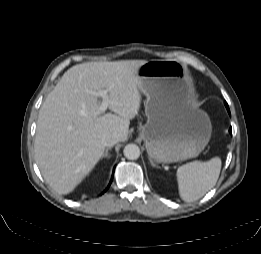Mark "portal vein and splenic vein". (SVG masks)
I'll return each instance as SVG.
<instances>
[{
	"label": "portal vein and splenic vein",
	"mask_w": 261,
	"mask_h": 254,
	"mask_svg": "<svg viewBox=\"0 0 261 254\" xmlns=\"http://www.w3.org/2000/svg\"><path fill=\"white\" fill-rule=\"evenodd\" d=\"M99 94L102 97L103 101H102V104H101V106H100V108L98 110V114L104 113L105 110L108 108V105H109L107 91L106 90H101L99 92Z\"/></svg>",
	"instance_id": "portal-vein-and-splenic-vein-1"
}]
</instances>
